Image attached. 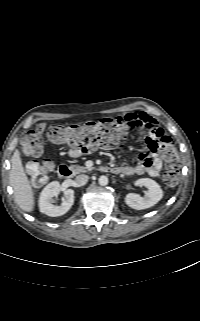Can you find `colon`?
Returning a JSON list of instances; mask_svg holds the SVG:
<instances>
[{
	"instance_id": "obj_1",
	"label": "colon",
	"mask_w": 200,
	"mask_h": 321,
	"mask_svg": "<svg viewBox=\"0 0 200 321\" xmlns=\"http://www.w3.org/2000/svg\"><path fill=\"white\" fill-rule=\"evenodd\" d=\"M46 127L40 124L36 130L28 132L22 140L23 152L27 156H38L42 150V134ZM131 130H140L137 126L118 118H106L99 121L72 125H53L46 129L49 141L67 145L75 154L87 153L97 148L111 149L122 146ZM167 170L163 180L168 186H175L179 181L180 162L177 153L168 149L165 153ZM53 163L46 159L32 164L29 173L35 184H42L53 171Z\"/></svg>"
}]
</instances>
